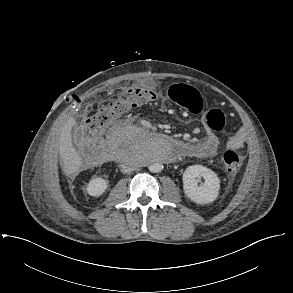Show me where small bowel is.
Instances as JSON below:
<instances>
[{
	"instance_id": "1",
	"label": "small bowel",
	"mask_w": 293,
	"mask_h": 293,
	"mask_svg": "<svg viewBox=\"0 0 293 293\" xmlns=\"http://www.w3.org/2000/svg\"><path fill=\"white\" fill-rule=\"evenodd\" d=\"M245 135L242 131L233 134L226 142V149L236 150L244 146ZM188 151L182 155L194 158H209L214 156L219 148V139L211 131L207 130L205 137L202 141L194 144H189Z\"/></svg>"
}]
</instances>
